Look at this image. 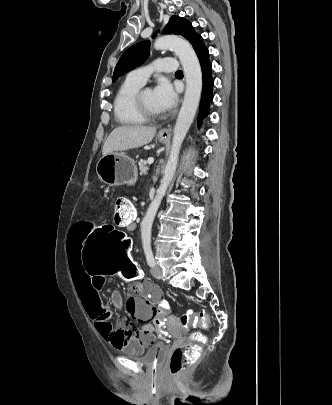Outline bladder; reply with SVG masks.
Listing matches in <instances>:
<instances>
[{
    "label": "bladder",
    "instance_id": "31cf9c89",
    "mask_svg": "<svg viewBox=\"0 0 332 405\" xmlns=\"http://www.w3.org/2000/svg\"><path fill=\"white\" fill-rule=\"evenodd\" d=\"M168 347L165 344L158 343L148 350L134 351L132 348H123L120 351L125 355L140 361L147 366H155L163 361L167 354Z\"/></svg>",
    "mask_w": 332,
    "mask_h": 405
}]
</instances>
